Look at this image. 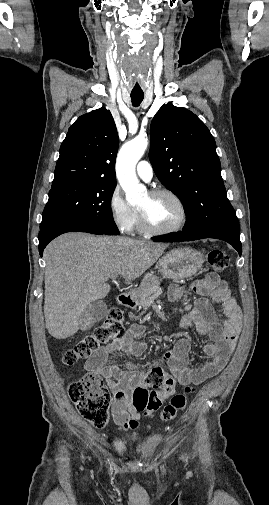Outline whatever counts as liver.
<instances>
[{
  "instance_id": "6515ba94",
  "label": "liver",
  "mask_w": 269,
  "mask_h": 505,
  "mask_svg": "<svg viewBox=\"0 0 269 505\" xmlns=\"http://www.w3.org/2000/svg\"><path fill=\"white\" fill-rule=\"evenodd\" d=\"M166 246L120 236L66 233L44 250L45 325L51 336L74 335L81 315L110 291L107 280L118 274L130 284L149 269Z\"/></svg>"
}]
</instances>
